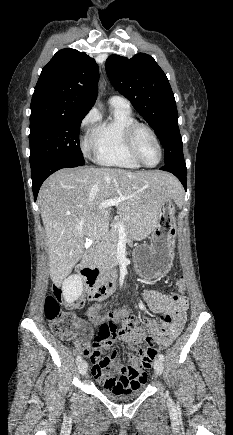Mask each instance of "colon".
Here are the masks:
<instances>
[{"label": "colon", "instance_id": "1", "mask_svg": "<svg viewBox=\"0 0 233 435\" xmlns=\"http://www.w3.org/2000/svg\"><path fill=\"white\" fill-rule=\"evenodd\" d=\"M84 282L85 279H84ZM90 282V279L89 281ZM64 285L57 282L53 284L52 294L48 295L44 302V314L48 320L53 333L62 340H69L74 334V328L76 325V315L69 309H62L60 304L63 301ZM74 307H82L83 302L79 301L73 305ZM96 311L90 310V314L94 315ZM112 317L111 313L104 315L101 320H108ZM166 318L164 317V320ZM134 322L133 315L127 313L123 317L122 325L124 332L132 331V324ZM135 341H144L145 348L136 347L138 352V361L136 365L123 366L133 372L132 376H121L112 380V384L116 386L119 392H131L137 387L138 383L133 381L137 375V369L135 366L146 365L150 370L155 356L158 354V349L154 346L152 331H145L142 329L134 332ZM92 344L94 347H99L102 344V338L100 335L92 338ZM80 351L83 355L90 356L93 363L96 364H108L110 362L109 356L101 349L90 350L87 343H83L80 346ZM133 362V361H132Z\"/></svg>", "mask_w": 233, "mask_h": 435}]
</instances>
